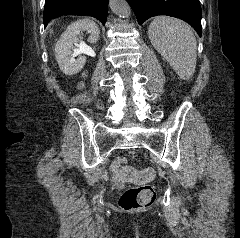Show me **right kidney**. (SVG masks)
<instances>
[{
    "label": "right kidney",
    "mask_w": 240,
    "mask_h": 238,
    "mask_svg": "<svg viewBox=\"0 0 240 238\" xmlns=\"http://www.w3.org/2000/svg\"><path fill=\"white\" fill-rule=\"evenodd\" d=\"M85 31L90 34L88 42L96 43L98 41L100 30L96 23L90 19H81L71 23L55 45V57L61 71L66 75L77 74L86 63V57L81 54H85L91 49L86 46L78 51L74 49V44L79 41V38L81 39V33ZM77 55L78 58L75 59Z\"/></svg>",
    "instance_id": "1"
}]
</instances>
